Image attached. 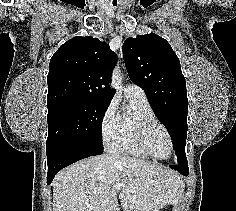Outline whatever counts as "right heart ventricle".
I'll use <instances>...</instances> for the list:
<instances>
[{
    "mask_svg": "<svg viewBox=\"0 0 236 211\" xmlns=\"http://www.w3.org/2000/svg\"><path fill=\"white\" fill-rule=\"evenodd\" d=\"M128 101L130 105L129 112L119 116L117 134L109 148L116 153L147 157L138 151L132 143V123L137 119L156 121L154 111L147 100L132 98L128 99Z\"/></svg>",
    "mask_w": 236,
    "mask_h": 211,
    "instance_id": "1",
    "label": "right heart ventricle"
}]
</instances>
